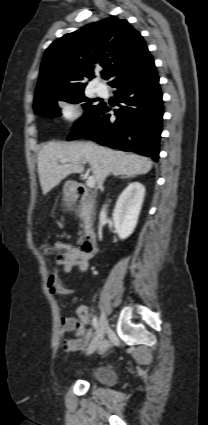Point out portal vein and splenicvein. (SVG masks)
Returning <instances> with one entry per match:
<instances>
[{"instance_id":"1","label":"portal vein and splenic vein","mask_w":208,"mask_h":425,"mask_svg":"<svg viewBox=\"0 0 208 425\" xmlns=\"http://www.w3.org/2000/svg\"><path fill=\"white\" fill-rule=\"evenodd\" d=\"M59 162L62 163V164H65V163H68V162L83 163V164L86 163L83 160H76V159H61ZM95 183H96V180H95L94 176H89L87 178L86 185L89 188H93L95 186Z\"/></svg>"}]
</instances>
